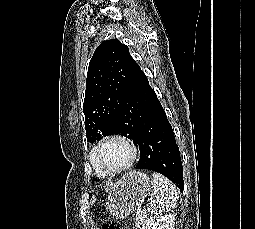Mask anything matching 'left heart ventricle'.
Wrapping results in <instances>:
<instances>
[{"instance_id":"b2bd125f","label":"left heart ventricle","mask_w":255,"mask_h":229,"mask_svg":"<svg viewBox=\"0 0 255 229\" xmlns=\"http://www.w3.org/2000/svg\"><path fill=\"white\" fill-rule=\"evenodd\" d=\"M98 159L106 167L118 168L129 161L130 150L121 142L110 141L101 147Z\"/></svg>"}]
</instances>
